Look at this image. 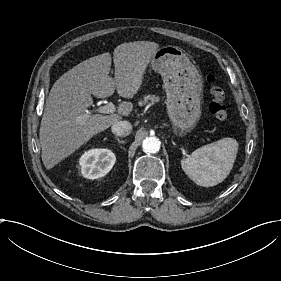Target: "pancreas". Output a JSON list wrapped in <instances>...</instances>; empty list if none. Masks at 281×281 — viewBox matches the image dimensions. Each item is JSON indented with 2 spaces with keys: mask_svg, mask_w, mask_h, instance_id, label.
<instances>
[{
  "mask_svg": "<svg viewBox=\"0 0 281 281\" xmlns=\"http://www.w3.org/2000/svg\"><path fill=\"white\" fill-rule=\"evenodd\" d=\"M160 101V97L159 96H155V95H146L144 96V99L139 101V105L143 106L149 102L151 103H155V102H159Z\"/></svg>",
  "mask_w": 281,
  "mask_h": 281,
  "instance_id": "pancreas-1",
  "label": "pancreas"
}]
</instances>
